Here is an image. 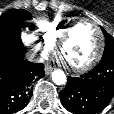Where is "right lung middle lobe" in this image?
I'll use <instances>...</instances> for the list:
<instances>
[{"instance_id": "obj_1", "label": "right lung middle lobe", "mask_w": 114, "mask_h": 114, "mask_svg": "<svg viewBox=\"0 0 114 114\" xmlns=\"http://www.w3.org/2000/svg\"><path fill=\"white\" fill-rule=\"evenodd\" d=\"M31 18L26 10L11 9L0 16V45L23 47L21 41V25Z\"/></svg>"}]
</instances>
